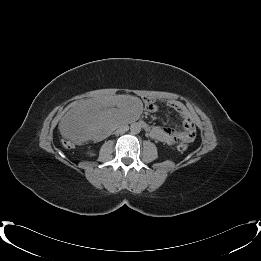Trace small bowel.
<instances>
[{
    "label": "small bowel",
    "instance_id": "c3829d8e",
    "mask_svg": "<svg viewBox=\"0 0 261 261\" xmlns=\"http://www.w3.org/2000/svg\"><path fill=\"white\" fill-rule=\"evenodd\" d=\"M154 102L155 99L147 101V107L150 111L157 110V106ZM167 106L176 111L181 117L183 130H176L174 128L163 126H149V136L169 145H174L179 141H184L186 143L193 141L196 136V125L191 113L180 102L168 101Z\"/></svg>",
    "mask_w": 261,
    "mask_h": 261
}]
</instances>
